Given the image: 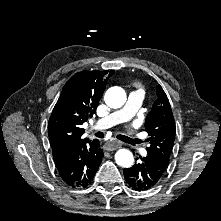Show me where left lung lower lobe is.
Segmentation results:
<instances>
[{
  "instance_id": "obj_1",
  "label": "left lung lower lobe",
  "mask_w": 221,
  "mask_h": 221,
  "mask_svg": "<svg viewBox=\"0 0 221 221\" xmlns=\"http://www.w3.org/2000/svg\"><path fill=\"white\" fill-rule=\"evenodd\" d=\"M142 162L124 169L126 182L135 191H145L157 185L166 173L168 164L154 156L141 158Z\"/></svg>"
}]
</instances>
